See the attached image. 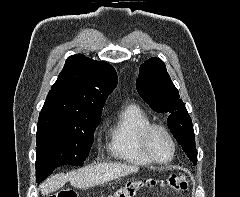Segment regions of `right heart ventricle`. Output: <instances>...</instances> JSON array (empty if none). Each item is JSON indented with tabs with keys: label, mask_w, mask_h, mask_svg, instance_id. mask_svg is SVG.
Masks as SVG:
<instances>
[{
	"label": "right heart ventricle",
	"mask_w": 240,
	"mask_h": 197,
	"mask_svg": "<svg viewBox=\"0 0 240 197\" xmlns=\"http://www.w3.org/2000/svg\"><path fill=\"white\" fill-rule=\"evenodd\" d=\"M151 123L148 114L138 105L129 104L119 110L107 132V150L120 161L136 166H149L140 145L142 130Z\"/></svg>",
	"instance_id": "right-heart-ventricle-1"
}]
</instances>
